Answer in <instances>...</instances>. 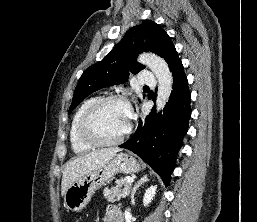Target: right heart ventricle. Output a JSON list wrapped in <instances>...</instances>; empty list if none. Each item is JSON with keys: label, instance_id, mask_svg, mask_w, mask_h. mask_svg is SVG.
<instances>
[{"label": "right heart ventricle", "instance_id": "obj_1", "mask_svg": "<svg viewBox=\"0 0 257 222\" xmlns=\"http://www.w3.org/2000/svg\"><path fill=\"white\" fill-rule=\"evenodd\" d=\"M97 97H92L84 101L76 111L69 129V139L71 148L74 153L82 154L90 151L93 146L83 141L79 134V124L85 111L97 100Z\"/></svg>", "mask_w": 257, "mask_h": 222}]
</instances>
